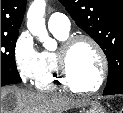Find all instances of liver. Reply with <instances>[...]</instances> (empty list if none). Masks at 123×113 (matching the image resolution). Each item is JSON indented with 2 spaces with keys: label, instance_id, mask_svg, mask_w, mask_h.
<instances>
[{
  "label": "liver",
  "instance_id": "6515ba94",
  "mask_svg": "<svg viewBox=\"0 0 123 113\" xmlns=\"http://www.w3.org/2000/svg\"><path fill=\"white\" fill-rule=\"evenodd\" d=\"M83 102L61 94L35 93L15 86L1 87V113H62Z\"/></svg>",
  "mask_w": 123,
  "mask_h": 113
}]
</instances>
